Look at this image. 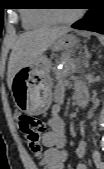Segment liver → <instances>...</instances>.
<instances>
[{
    "instance_id": "6515ba94",
    "label": "liver",
    "mask_w": 104,
    "mask_h": 169,
    "mask_svg": "<svg viewBox=\"0 0 104 169\" xmlns=\"http://www.w3.org/2000/svg\"><path fill=\"white\" fill-rule=\"evenodd\" d=\"M71 31L67 26L41 27L22 33L12 45L7 71V84L11 89L15 74L34 63L62 35Z\"/></svg>"
}]
</instances>
